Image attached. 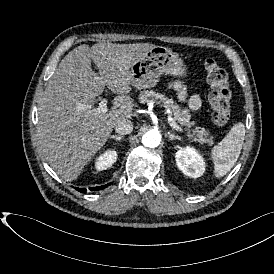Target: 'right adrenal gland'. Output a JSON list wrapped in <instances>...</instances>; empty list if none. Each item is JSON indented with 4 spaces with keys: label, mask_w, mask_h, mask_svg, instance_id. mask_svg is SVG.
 <instances>
[{
    "label": "right adrenal gland",
    "mask_w": 274,
    "mask_h": 274,
    "mask_svg": "<svg viewBox=\"0 0 274 274\" xmlns=\"http://www.w3.org/2000/svg\"><path fill=\"white\" fill-rule=\"evenodd\" d=\"M124 138L123 135H115V136H109L108 143H111L112 141L120 142Z\"/></svg>",
    "instance_id": "right-adrenal-gland-1"
}]
</instances>
